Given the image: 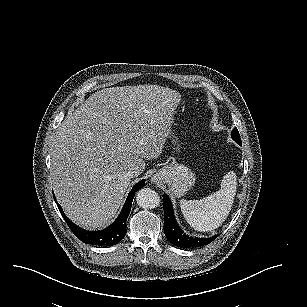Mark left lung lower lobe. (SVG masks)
<instances>
[{
    "label": "left lung lower lobe",
    "instance_id": "left-lung-lower-lobe-1",
    "mask_svg": "<svg viewBox=\"0 0 307 307\" xmlns=\"http://www.w3.org/2000/svg\"><path fill=\"white\" fill-rule=\"evenodd\" d=\"M163 198H164L163 200L164 232H165L167 239L173 245L177 247H181V248L200 247V246L211 243L219 236L218 234L211 238H193V237H188L185 234H183L182 230L180 229V227L178 226L174 218L172 203L169 197L166 194H164Z\"/></svg>",
    "mask_w": 307,
    "mask_h": 307
}]
</instances>
